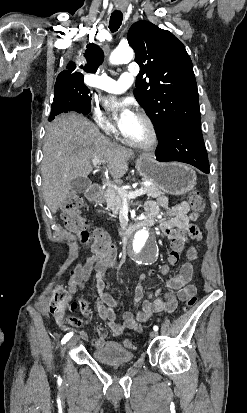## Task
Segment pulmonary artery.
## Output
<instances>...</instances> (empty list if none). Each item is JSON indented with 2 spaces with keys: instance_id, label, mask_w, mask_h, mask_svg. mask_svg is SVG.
<instances>
[{
  "instance_id": "obj_1",
  "label": "pulmonary artery",
  "mask_w": 247,
  "mask_h": 413,
  "mask_svg": "<svg viewBox=\"0 0 247 413\" xmlns=\"http://www.w3.org/2000/svg\"><path fill=\"white\" fill-rule=\"evenodd\" d=\"M135 82V76L129 72H124L118 79L108 76H89L85 83L109 93H120L129 88Z\"/></svg>"
}]
</instances>
